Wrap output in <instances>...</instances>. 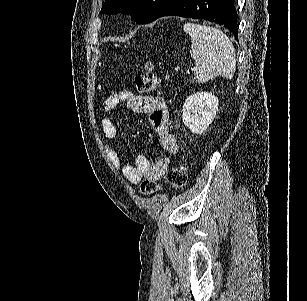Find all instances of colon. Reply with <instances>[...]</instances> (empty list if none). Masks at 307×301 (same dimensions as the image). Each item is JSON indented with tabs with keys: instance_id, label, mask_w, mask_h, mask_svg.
Returning <instances> with one entry per match:
<instances>
[{
	"instance_id": "5ec220e1",
	"label": "colon",
	"mask_w": 307,
	"mask_h": 301,
	"mask_svg": "<svg viewBox=\"0 0 307 301\" xmlns=\"http://www.w3.org/2000/svg\"><path fill=\"white\" fill-rule=\"evenodd\" d=\"M135 85L141 92H149L157 89L160 85L159 76L152 70V65H147V70L135 77ZM166 179L168 184L174 189H181L187 183V171L184 165L178 164L172 167ZM140 193L151 195L160 190V186L152 180H144L140 185Z\"/></svg>"
}]
</instances>
